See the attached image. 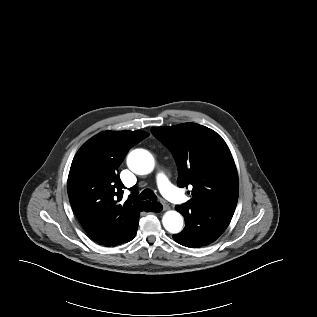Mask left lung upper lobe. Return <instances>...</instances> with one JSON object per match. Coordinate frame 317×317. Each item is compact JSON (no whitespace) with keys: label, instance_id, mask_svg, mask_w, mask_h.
Listing matches in <instances>:
<instances>
[{"label":"left lung upper lobe","instance_id":"1","mask_svg":"<svg viewBox=\"0 0 317 317\" xmlns=\"http://www.w3.org/2000/svg\"><path fill=\"white\" fill-rule=\"evenodd\" d=\"M151 131L172 152L179 187L192 188L191 199L179 208L208 206L235 211L238 175L231 152L219 134L196 123L153 127Z\"/></svg>","mask_w":317,"mask_h":317}]
</instances>
